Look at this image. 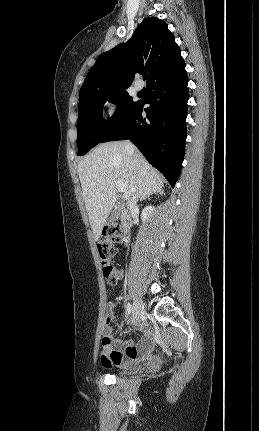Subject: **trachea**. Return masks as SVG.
Here are the masks:
<instances>
[{"mask_svg": "<svg viewBox=\"0 0 259 431\" xmlns=\"http://www.w3.org/2000/svg\"><path fill=\"white\" fill-rule=\"evenodd\" d=\"M147 74H143V79L146 80L147 79Z\"/></svg>", "mask_w": 259, "mask_h": 431, "instance_id": "1", "label": "trachea"}]
</instances>
